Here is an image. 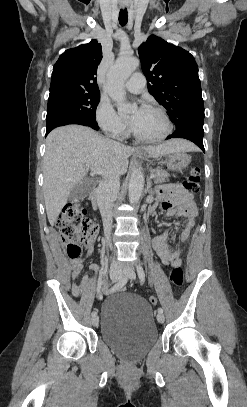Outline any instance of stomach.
<instances>
[{
	"label": "stomach",
	"instance_id": "stomach-1",
	"mask_svg": "<svg viewBox=\"0 0 247 407\" xmlns=\"http://www.w3.org/2000/svg\"><path fill=\"white\" fill-rule=\"evenodd\" d=\"M161 158L171 171H182L191 162L190 156L185 151L166 153Z\"/></svg>",
	"mask_w": 247,
	"mask_h": 407
}]
</instances>
